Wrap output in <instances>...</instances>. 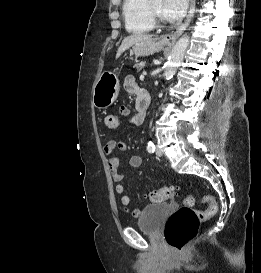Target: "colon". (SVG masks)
Masks as SVG:
<instances>
[{
    "label": "colon",
    "mask_w": 261,
    "mask_h": 273,
    "mask_svg": "<svg viewBox=\"0 0 261 273\" xmlns=\"http://www.w3.org/2000/svg\"><path fill=\"white\" fill-rule=\"evenodd\" d=\"M104 123L108 129L117 130L120 125V115H107ZM176 192L175 186H165L149 191L148 197L152 202L158 203L172 199ZM202 201L207 204V208L204 211L195 210L193 206L196 198L188 195L184 200V206L169 217L164 235L166 242L173 250L182 252L197 235L201 222L217 213L218 205L214 197L207 195Z\"/></svg>",
    "instance_id": "1"
}]
</instances>
